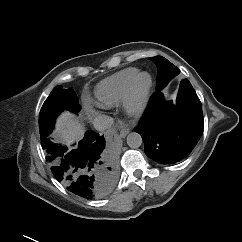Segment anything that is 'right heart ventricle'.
<instances>
[{
    "label": "right heart ventricle",
    "mask_w": 242,
    "mask_h": 242,
    "mask_svg": "<svg viewBox=\"0 0 242 242\" xmlns=\"http://www.w3.org/2000/svg\"><path fill=\"white\" fill-rule=\"evenodd\" d=\"M137 73L138 69L127 68L99 82L94 90L97 104L104 108L119 104L123 100L130 82Z\"/></svg>",
    "instance_id": "1"
}]
</instances>
